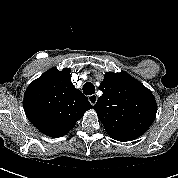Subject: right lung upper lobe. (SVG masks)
Wrapping results in <instances>:
<instances>
[{
    "label": "right lung upper lobe",
    "instance_id": "right-lung-upper-lobe-1",
    "mask_svg": "<svg viewBox=\"0 0 178 178\" xmlns=\"http://www.w3.org/2000/svg\"><path fill=\"white\" fill-rule=\"evenodd\" d=\"M71 70L53 67L34 80L24 94V111L29 121L50 137L67 134L92 108L87 97L71 82Z\"/></svg>",
    "mask_w": 178,
    "mask_h": 178
}]
</instances>
